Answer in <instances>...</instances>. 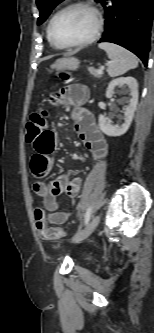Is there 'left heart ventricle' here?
Wrapping results in <instances>:
<instances>
[{
	"mask_svg": "<svg viewBox=\"0 0 154 333\" xmlns=\"http://www.w3.org/2000/svg\"><path fill=\"white\" fill-rule=\"evenodd\" d=\"M94 26V17L89 10L73 8L56 19L53 33L59 43L73 44L90 37Z\"/></svg>",
	"mask_w": 154,
	"mask_h": 333,
	"instance_id": "1",
	"label": "left heart ventricle"
}]
</instances>
